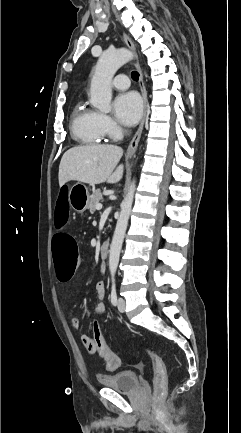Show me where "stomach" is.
Instances as JSON below:
<instances>
[{
	"mask_svg": "<svg viewBox=\"0 0 241 433\" xmlns=\"http://www.w3.org/2000/svg\"><path fill=\"white\" fill-rule=\"evenodd\" d=\"M68 195V200H70L71 207L76 212L83 213L86 211L90 195L88 192V188L85 185L80 183L73 185L69 189Z\"/></svg>",
	"mask_w": 241,
	"mask_h": 433,
	"instance_id": "1",
	"label": "stomach"
}]
</instances>
